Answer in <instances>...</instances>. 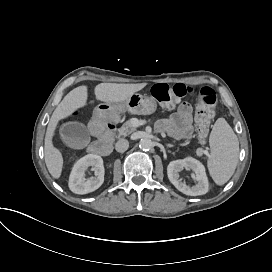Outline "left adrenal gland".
Instances as JSON below:
<instances>
[{"label": "left adrenal gland", "mask_w": 272, "mask_h": 272, "mask_svg": "<svg viewBox=\"0 0 272 272\" xmlns=\"http://www.w3.org/2000/svg\"><path fill=\"white\" fill-rule=\"evenodd\" d=\"M167 147H173L174 145L172 144H166Z\"/></svg>", "instance_id": "a2214340"}]
</instances>
